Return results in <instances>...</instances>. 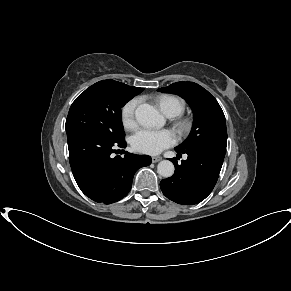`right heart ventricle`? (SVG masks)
Wrapping results in <instances>:
<instances>
[{
    "mask_svg": "<svg viewBox=\"0 0 291 291\" xmlns=\"http://www.w3.org/2000/svg\"><path fill=\"white\" fill-rule=\"evenodd\" d=\"M159 109L168 117H176L185 110V101L171 94H162L155 99Z\"/></svg>",
    "mask_w": 291,
    "mask_h": 291,
    "instance_id": "obj_1",
    "label": "right heart ventricle"
}]
</instances>
